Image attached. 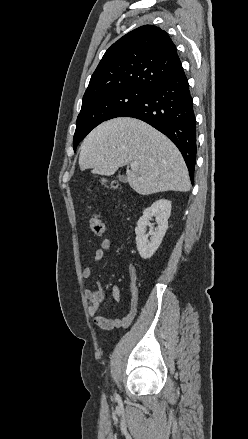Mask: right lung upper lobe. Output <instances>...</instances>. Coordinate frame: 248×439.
<instances>
[{
    "label": "right lung upper lobe",
    "mask_w": 248,
    "mask_h": 439,
    "mask_svg": "<svg viewBox=\"0 0 248 439\" xmlns=\"http://www.w3.org/2000/svg\"><path fill=\"white\" fill-rule=\"evenodd\" d=\"M182 70L169 35L159 27L144 25L120 38L105 52L82 103L119 89L148 91Z\"/></svg>",
    "instance_id": "cb5924a9"
}]
</instances>
